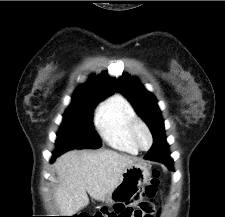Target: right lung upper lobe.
<instances>
[{
  "label": "right lung upper lobe",
  "mask_w": 225,
  "mask_h": 217,
  "mask_svg": "<svg viewBox=\"0 0 225 217\" xmlns=\"http://www.w3.org/2000/svg\"><path fill=\"white\" fill-rule=\"evenodd\" d=\"M116 90V80L114 78H109L107 73H102L99 76V81L95 80L92 76L91 79L85 84L79 86L73 98L78 97H96L105 98Z\"/></svg>",
  "instance_id": "1"
}]
</instances>
